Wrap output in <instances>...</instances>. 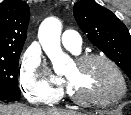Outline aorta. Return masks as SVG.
<instances>
[{"instance_id":"obj_1","label":"aorta","mask_w":131,"mask_h":115,"mask_svg":"<svg viewBox=\"0 0 131 115\" xmlns=\"http://www.w3.org/2000/svg\"><path fill=\"white\" fill-rule=\"evenodd\" d=\"M62 24L56 18L45 19L38 32L39 41L43 50L52 62L53 69L57 74L64 71L68 56L62 51L60 45V34Z\"/></svg>"}]
</instances>
